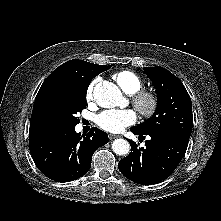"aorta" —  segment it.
Here are the masks:
<instances>
[{
  "label": "aorta",
  "mask_w": 221,
  "mask_h": 221,
  "mask_svg": "<svg viewBox=\"0 0 221 221\" xmlns=\"http://www.w3.org/2000/svg\"><path fill=\"white\" fill-rule=\"evenodd\" d=\"M94 99L103 108H113L122 101V93L113 83L104 82L94 88ZM112 149L117 155H126L130 151V144L127 140L119 138L113 141Z\"/></svg>",
  "instance_id": "aorta-1"
}]
</instances>
